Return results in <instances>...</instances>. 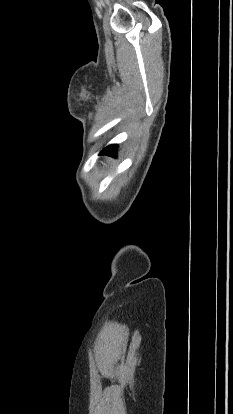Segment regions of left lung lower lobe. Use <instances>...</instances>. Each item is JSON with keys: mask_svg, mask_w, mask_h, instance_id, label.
I'll list each match as a JSON object with an SVG mask.
<instances>
[{"mask_svg": "<svg viewBox=\"0 0 233 414\" xmlns=\"http://www.w3.org/2000/svg\"><path fill=\"white\" fill-rule=\"evenodd\" d=\"M116 149H117V145H110V146H107L106 148H104L102 151H101V154H107V155H111V156H113V155H115L116 154Z\"/></svg>", "mask_w": 233, "mask_h": 414, "instance_id": "left-lung-lower-lobe-1", "label": "left lung lower lobe"}]
</instances>
